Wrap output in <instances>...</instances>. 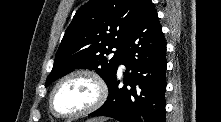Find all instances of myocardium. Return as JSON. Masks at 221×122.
Masks as SVG:
<instances>
[{
	"mask_svg": "<svg viewBox=\"0 0 221 122\" xmlns=\"http://www.w3.org/2000/svg\"><path fill=\"white\" fill-rule=\"evenodd\" d=\"M74 77H86L90 79L96 86L97 89V95L95 100L93 101L92 104H90L88 107L85 109L75 112V113H60L59 111L56 110L54 106V95L57 91V89L67 80L74 78ZM108 96V87L105 82V80L102 78L100 74H98L96 71L91 70V69H76L73 71L68 72L67 74L63 75L59 80L54 84L50 96H49V108L51 112L60 118H78L82 117L85 115H88L97 109H99L106 101Z\"/></svg>",
	"mask_w": 221,
	"mask_h": 122,
	"instance_id": "1",
	"label": "myocardium"
}]
</instances>
